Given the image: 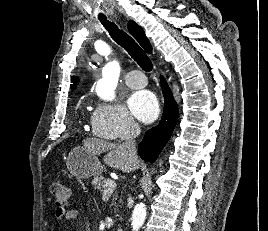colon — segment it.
<instances>
[{
	"mask_svg": "<svg viewBox=\"0 0 268 231\" xmlns=\"http://www.w3.org/2000/svg\"><path fill=\"white\" fill-rule=\"evenodd\" d=\"M50 192L53 196L54 202L58 206L62 208L67 206L70 198V190L66 186L60 183H53L50 186Z\"/></svg>",
	"mask_w": 268,
	"mask_h": 231,
	"instance_id": "colon-1",
	"label": "colon"
}]
</instances>
